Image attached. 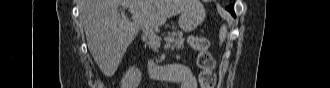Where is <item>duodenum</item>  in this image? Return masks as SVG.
<instances>
[{"label": "duodenum", "mask_w": 330, "mask_h": 88, "mask_svg": "<svg viewBox=\"0 0 330 88\" xmlns=\"http://www.w3.org/2000/svg\"><path fill=\"white\" fill-rule=\"evenodd\" d=\"M146 69L148 74L159 81H169L167 69L168 65H158L155 63H147Z\"/></svg>", "instance_id": "duodenum-1"}]
</instances>
